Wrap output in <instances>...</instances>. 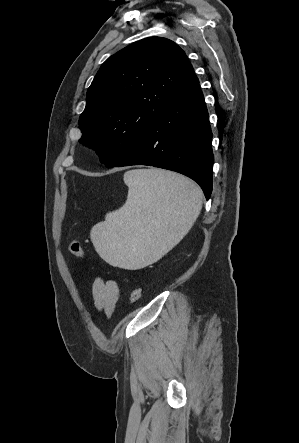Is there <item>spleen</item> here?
<instances>
[{
    "mask_svg": "<svg viewBox=\"0 0 299 443\" xmlns=\"http://www.w3.org/2000/svg\"><path fill=\"white\" fill-rule=\"evenodd\" d=\"M126 203L96 224L90 238L114 267L140 269L161 258L189 232L202 208L201 189L190 179L161 169L124 174Z\"/></svg>",
    "mask_w": 299,
    "mask_h": 443,
    "instance_id": "1",
    "label": "spleen"
}]
</instances>
